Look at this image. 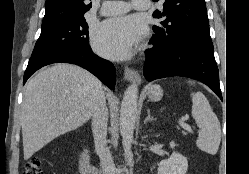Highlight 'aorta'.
Masks as SVG:
<instances>
[{"mask_svg":"<svg viewBox=\"0 0 249 174\" xmlns=\"http://www.w3.org/2000/svg\"><path fill=\"white\" fill-rule=\"evenodd\" d=\"M138 86L129 85L124 93L120 109V133L125 156L130 167H133V154L131 144L137 118Z\"/></svg>","mask_w":249,"mask_h":174,"instance_id":"obj_1","label":"aorta"}]
</instances>
